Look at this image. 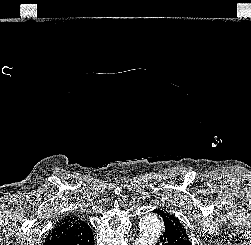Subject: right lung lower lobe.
I'll return each mask as SVG.
<instances>
[{
	"instance_id": "right-lung-lower-lobe-1",
	"label": "right lung lower lobe",
	"mask_w": 251,
	"mask_h": 245,
	"mask_svg": "<svg viewBox=\"0 0 251 245\" xmlns=\"http://www.w3.org/2000/svg\"><path fill=\"white\" fill-rule=\"evenodd\" d=\"M43 245H94V237L90 228L81 233L51 238L45 240Z\"/></svg>"
}]
</instances>
